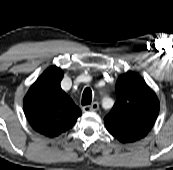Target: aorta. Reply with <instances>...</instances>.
Listing matches in <instances>:
<instances>
[{
    "label": "aorta",
    "instance_id": "aorta-1",
    "mask_svg": "<svg viewBox=\"0 0 173 170\" xmlns=\"http://www.w3.org/2000/svg\"><path fill=\"white\" fill-rule=\"evenodd\" d=\"M105 103H106V101L103 102L104 106H105Z\"/></svg>",
    "mask_w": 173,
    "mask_h": 170
}]
</instances>
